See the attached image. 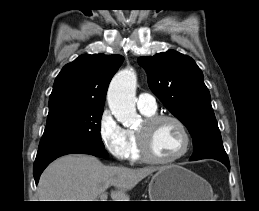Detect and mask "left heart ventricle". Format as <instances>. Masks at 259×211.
Segmentation results:
<instances>
[{"mask_svg": "<svg viewBox=\"0 0 259 211\" xmlns=\"http://www.w3.org/2000/svg\"><path fill=\"white\" fill-rule=\"evenodd\" d=\"M144 124L139 130H143ZM149 148L158 158H171L178 154L184 144L178 126L171 121H162L146 130Z\"/></svg>", "mask_w": 259, "mask_h": 211, "instance_id": "b2bd125f", "label": "left heart ventricle"}]
</instances>
